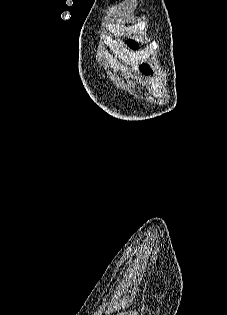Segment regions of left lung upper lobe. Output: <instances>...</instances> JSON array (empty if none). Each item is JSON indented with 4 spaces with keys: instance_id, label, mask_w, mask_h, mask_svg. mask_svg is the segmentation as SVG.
Instances as JSON below:
<instances>
[{
    "instance_id": "1",
    "label": "left lung upper lobe",
    "mask_w": 227,
    "mask_h": 315,
    "mask_svg": "<svg viewBox=\"0 0 227 315\" xmlns=\"http://www.w3.org/2000/svg\"><path fill=\"white\" fill-rule=\"evenodd\" d=\"M127 44H128V46H130V47L133 48V49H137V48H138V44L135 43V42L132 41V40H128ZM141 70H142V68H141ZM142 71H143L145 74L151 73V70H149V69H144V70H142Z\"/></svg>"
}]
</instances>
